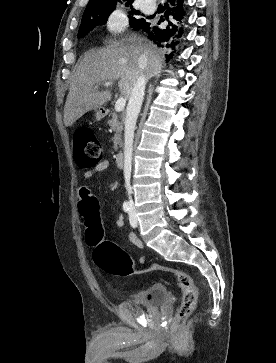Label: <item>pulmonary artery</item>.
<instances>
[{
  "mask_svg": "<svg viewBox=\"0 0 276 363\" xmlns=\"http://www.w3.org/2000/svg\"><path fill=\"white\" fill-rule=\"evenodd\" d=\"M149 3H152V0H144L143 9L146 13L154 12V8L149 7Z\"/></svg>",
  "mask_w": 276,
  "mask_h": 363,
  "instance_id": "obj_1",
  "label": "pulmonary artery"
}]
</instances>
